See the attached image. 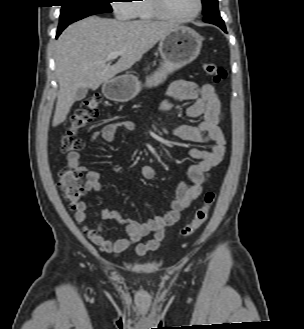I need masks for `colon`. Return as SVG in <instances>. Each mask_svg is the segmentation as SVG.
Listing matches in <instances>:
<instances>
[{
    "instance_id": "colon-1",
    "label": "colon",
    "mask_w": 304,
    "mask_h": 329,
    "mask_svg": "<svg viewBox=\"0 0 304 329\" xmlns=\"http://www.w3.org/2000/svg\"><path fill=\"white\" fill-rule=\"evenodd\" d=\"M203 69L207 75L212 77L215 83H221L225 81L227 77L226 70L217 67L213 63H205ZM99 110L100 97L98 95H92L85 99L74 114L70 127L61 136L60 145L64 153L77 152L83 147L82 141L76 137V132L96 118L99 114ZM58 186L65 199L68 201L70 208L74 210L85 194L82 174L71 167L64 166L59 172ZM214 201V192L209 191L204 195L203 205L195 211L191 222L182 228L181 234L183 236L194 234L207 221Z\"/></svg>"
}]
</instances>
